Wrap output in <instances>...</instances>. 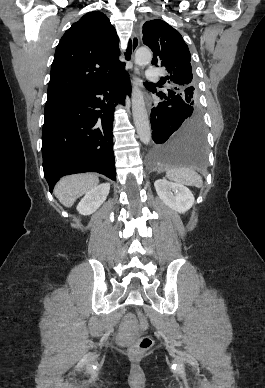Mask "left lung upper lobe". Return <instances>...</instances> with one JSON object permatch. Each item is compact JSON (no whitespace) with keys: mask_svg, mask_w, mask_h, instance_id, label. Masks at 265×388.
Returning <instances> with one entry per match:
<instances>
[{"mask_svg":"<svg viewBox=\"0 0 265 388\" xmlns=\"http://www.w3.org/2000/svg\"><path fill=\"white\" fill-rule=\"evenodd\" d=\"M142 32L143 43L153 51L152 65H161L167 70V76L161 81L170 84L168 92L179 96L189 106L198 108L191 56L181 34L160 19L145 22Z\"/></svg>","mask_w":265,"mask_h":388,"instance_id":"5c2ea615","label":"left lung upper lobe"}]
</instances>
